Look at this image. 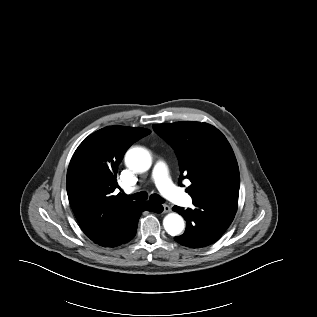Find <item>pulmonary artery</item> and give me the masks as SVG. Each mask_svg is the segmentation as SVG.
I'll list each match as a JSON object with an SVG mask.
<instances>
[{
	"mask_svg": "<svg viewBox=\"0 0 317 317\" xmlns=\"http://www.w3.org/2000/svg\"><path fill=\"white\" fill-rule=\"evenodd\" d=\"M152 178L158 190L171 202L184 207L192 204V198L173 184L163 161L159 160L154 165ZM135 189L136 187H127L126 191L133 192Z\"/></svg>",
	"mask_w": 317,
	"mask_h": 317,
	"instance_id": "1",
	"label": "pulmonary artery"
}]
</instances>
